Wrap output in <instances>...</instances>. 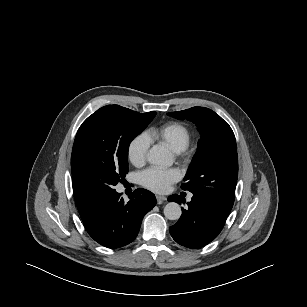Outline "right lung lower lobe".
<instances>
[{"mask_svg":"<svg viewBox=\"0 0 307 307\" xmlns=\"http://www.w3.org/2000/svg\"><path fill=\"white\" fill-rule=\"evenodd\" d=\"M120 196L114 191L81 218L88 234L108 248L131 243L138 235L143 217L156 205L154 194L145 189H136L127 203Z\"/></svg>","mask_w":307,"mask_h":307,"instance_id":"1","label":"right lung lower lobe"}]
</instances>
